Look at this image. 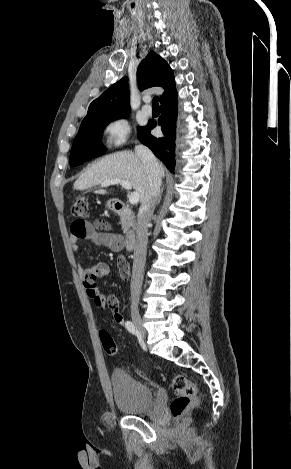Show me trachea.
Listing matches in <instances>:
<instances>
[{
	"label": "trachea",
	"mask_w": 291,
	"mask_h": 469,
	"mask_svg": "<svg viewBox=\"0 0 291 469\" xmlns=\"http://www.w3.org/2000/svg\"><path fill=\"white\" fill-rule=\"evenodd\" d=\"M158 101H159L158 96H155V97L153 98V101H152L153 107L159 108V103H158Z\"/></svg>",
	"instance_id": "1"
}]
</instances>
